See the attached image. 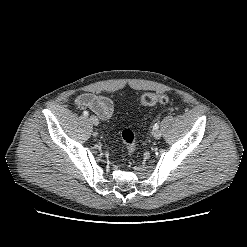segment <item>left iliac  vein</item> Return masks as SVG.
I'll use <instances>...</instances> for the list:
<instances>
[{
  "instance_id": "left-iliac-vein-1",
  "label": "left iliac vein",
  "mask_w": 247,
  "mask_h": 247,
  "mask_svg": "<svg viewBox=\"0 0 247 247\" xmlns=\"http://www.w3.org/2000/svg\"><path fill=\"white\" fill-rule=\"evenodd\" d=\"M152 135H153V137H154L155 139H159V138L161 137L162 133H161L160 130L156 129V130H154V131L152 132Z\"/></svg>"
}]
</instances>
